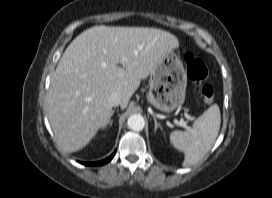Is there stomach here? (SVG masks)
<instances>
[{"label":"stomach","instance_id":"1","mask_svg":"<svg viewBox=\"0 0 272 198\" xmlns=\"http://www.w3.org/2000/svg\"><path fill=\"white\" fill-rule=\"evenodd\" d=\"M187 75L174 51L164 54L150 73L148 102L163 112H172L185 101Z\"/></svg>","mask_w":272,"mask_h":198}]
</instances>
